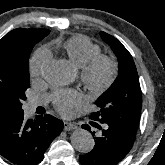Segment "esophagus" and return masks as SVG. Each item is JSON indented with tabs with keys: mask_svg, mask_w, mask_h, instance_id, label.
Masks as SVG:
<instances>
[{
	"mask_svg": "<svg viewBox=\"0 0 165 165\" xmlns=\"http://www.w3.org/2000/svg\"><path fill=\"white\" fill-rule=\"evenodd\" d=\"M76 125L74 123L71 122H64V130L65 131H71L73 129H76Z\"/></svg>",
	"mask_w": 165,
	"mask_h": 165,
	"instance_id": "esophagus-1",
	"label": "esophagus"
}]
</instances>
